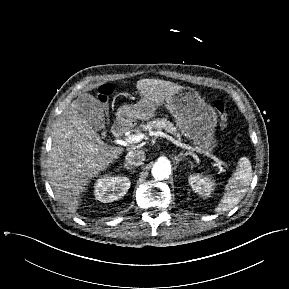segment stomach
Here are the masks:
<instances>
[{"label": "stomach", "instance_id": "0dacf381", "mask_svg": "<svg viewBox=\"0 0 289 289\" xmlns=\"http://www.w3.org/2000/svg\"><path fill=\"white\" fill-rule=\"evenodd\" d=\"M165 101L181 133L202 151L211 152L216 145L214 132L217 114L214 109L190 87L175 91ZM153 116V107L143 98L134 105L120 107L117 112V119L121 122L132 119L148 120Z\"/></svg>", "mask_w": 289, "mask_h": 289}]
</instances>
